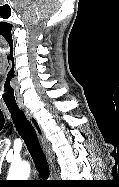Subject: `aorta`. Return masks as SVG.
Wrapping results in <instances>:
<instances>
[{"label": "aorta", "mask_w": 119, "mask_h": 187, "mask_svg": "<svg viewBox=\"0 0 119 187\" xmlns=\"http://www.w3.org/2000/svg\"><path fill=\"white\" fill-rule=\"evenodd\" d=\"M30 174V164L26 161L20 163H12L8 179L9 180H27Z\"/></svg>", "instance_id": "762f6f07"}]
</instances>
